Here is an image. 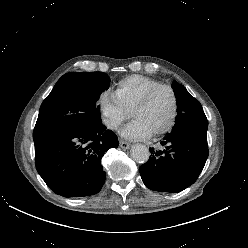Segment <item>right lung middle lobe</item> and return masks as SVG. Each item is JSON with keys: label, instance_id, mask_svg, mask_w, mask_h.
<instances>
[{"label": "right lung middle lobe", "instance_id": "right-lung-middle-lobe-1", "mask_svg": "<svg viewBox=\"0 0 248 248\" xmlns=\"http://www.w3.org/2000/svg\"><path fill=\"white\" fill-rule=\"evenodd\" d=\"M109 85L110 78L103 72H71L63 75L43 101L36 125H103L97 101Z\"/></svg>", "mask_w": 248, "mask_h": 248}]
</instances>
